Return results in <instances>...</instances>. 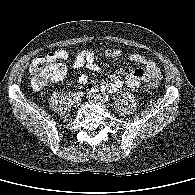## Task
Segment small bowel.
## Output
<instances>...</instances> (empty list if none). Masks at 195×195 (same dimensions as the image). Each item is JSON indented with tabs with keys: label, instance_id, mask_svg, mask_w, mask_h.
<instances>
[{
	"label": "small bowel",
	"instance_id": "1",
	"mask_svg": "<svg viewBox=\"0 0 195 195\" xmlns=\"http://www.w3.org/2000/svg\"><path fill=\"white\" fill-rule=\"evenodd\" d=\"M49 54L54 58L63 60L69 57V51L65 49H60ZM123 55L124 53L120 49H106L104 51V56L108 59H116ZM130 59L141 67L134 69L126 75L124 82L121 78L124 74V70L118 69L116 73L111 76L110 81H103L99 86L92 88L90 92L95 93L102 91L116 93L123 86V83L129 88H137L143 81L148 82L150 80H159L161 78V72L153 60L148 59L141 54H133ZM84 65L90 69L98 70L95 65V53L93 51L83 50L75 54L72 66L74 68H80ZM78 82L81 85H85L88 82V76L86 74H81L78 77Z\"/></svg>",
	"mask_w": 195,
	"mask_h": 195
}]
</instances>
